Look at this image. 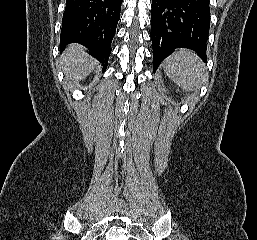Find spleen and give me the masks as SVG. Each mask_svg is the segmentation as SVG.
<instances>
[{
	"instance_id": "obj_1",
	"label": "spleen",
	"mask_w": 257,
	"mask_h": 240,
	"mask_svg": "<svg viewBox=\"0 0 257 240\" xmlns=\"http://www.w3.org/2000/svg\"><path fill=\"white\" fill-rule=\"evenodd\" d=\"M166 75L184 91H198L208 79L204 64L197 54L180 49L163 63Z\"/></svg>"
}]
</instances>
